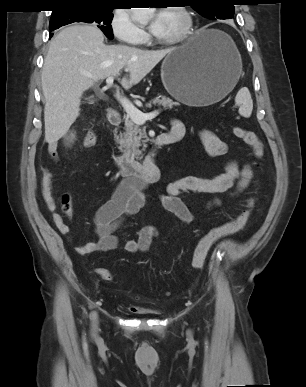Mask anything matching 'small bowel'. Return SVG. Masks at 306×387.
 I'll use <instances>...</instances> for the list:
<instances>
[{"mask_svg":"<svg viewBox=\"0 0 306 387\" xmlns=\"http://www.w3.org/2000/svg\"><path fill=\"white\" fill-rule=\"evenodd\" d=\"M169 133L180 134L181 138L185 134V126L179 120H173ZM199 137L205 147L206 152L212 157L223 156L227 153V144L217 135L208 129L199 132ZM75 140L73 132H69L64 137V144L70 147ZM47 152L53 161H59L57 145L51 142L47 145ZM252 170L250 166H240L236 161H229L225 171L212 178H202L188 175L181 177L168 184L164 194L160 196L163 207L188 224L193 220L191 209L182 201V192H195L205 194L238 193L244 190L251 181ZM54 175L48 169L43 168L41 180V192L48 210L52 214V219L61 233H67L69 228L64 223L61 215L56 211L57 204L52 195V184ZM145 184L131 180L123 181L116 189L110 200L102 204L93 215L96 241L76 247L79 254H93L117 249H123L131 254L143 253L149 250L154 240L159 238L158 229L153 225L144 226L138 233L136 239H129L122 244L116 232L126 218L136 214L145 201ZM211 205H218L219 199L214 198Z\"/></svg>","mask_w":306,"mask_h":387,"instance_id":"c3829d8e","label":"small bowel"}]
</instances>
